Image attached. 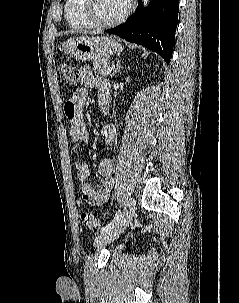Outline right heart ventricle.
<instances>
[{
  "instance_id": "right-heart-ventricle-1",
  "label": "right heart ventricle",
  "mask_w": 239,
  "mask_h": 303,
  "mask_svg": "<svg viewBox=\"0 0 239 303\" xmlns=\"http://www.w3.org/2000/svg\"><path fill=\"white\" fill-rule=\"evenodd\" d=\"M82 0H65L64 15L68 26L77 31H82L92 27L84 19L81 12Z\"/></svg>"
}]
</instances>
